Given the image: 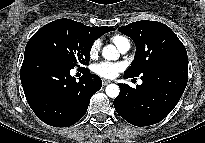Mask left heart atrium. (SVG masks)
<instances>
[{"label":"left heart atrium","mask_w":205,"mask_h":143,"mask_svg":"<svg viewBox=\"0 0 205 143\" xmlns=\"http://www.w3.org/2000/svg\"><path fill=\"white\" fill-rule=\"evenodd\" d=\"M124 68L122 63H113V62H99L94 65L93 71L95 74L103 78H115L120 71Z\"/></svg>","instance_id":"39dd6f15"}]
</instances>
